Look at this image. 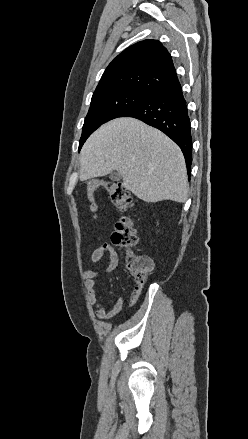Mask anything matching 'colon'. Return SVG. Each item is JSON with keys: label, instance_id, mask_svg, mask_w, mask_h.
<instances>
[{"label": "colon", "instance_id": "colon-1", "mask_svg": "<svg viewBox=\"0 0 248 439\" xmlns=\"http://www.w3.org/2000/svg\"><path fill=\"white\" fill-rule=\"evenodd\" d=\"M99 188H104L107 191L111 201L118 209L126 210L133 205L131 194L120 182L93 179L87 184V199L89 202V209L95 217L97 215L98 206L95 202L94 193ZM111 240L116 246H135L138 242V238L132 221L125 217L118 220L115 224ZM126 265L134 277L136 286H142L145 283L148 274L153 269V262L149 257L132 253L127 255Z\"/></svg>", "mask_w": 248, "mask_h": 439}]
</instances>
